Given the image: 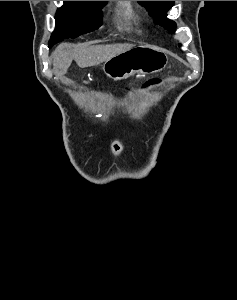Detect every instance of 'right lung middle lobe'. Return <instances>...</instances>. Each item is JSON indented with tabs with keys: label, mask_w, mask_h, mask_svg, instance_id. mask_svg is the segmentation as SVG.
<instances>
[{
	"label": "right lung middle lobe",
	"mask_w": 237,
	"mask_h": 300,
	"mask_svg": "<svg viewBox=\"0 0 237 300\" xmlns=\"http://www.w3.org/2000/svg\"><path fill=\"white\" fill-rule=\"evenodd\" d=\"M57 10L56 28L49 41V47L64 40L97 29L102 23L101 8L107 1H63Z\"/></svg>",
	"instance_id": "1"
}]
</instances>
